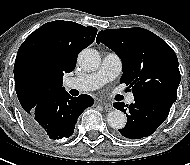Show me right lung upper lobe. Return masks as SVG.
Wrapping results in <instances>:
<instances>
[{
  "label": "right lung upper lobe",
  "mask_w": 190,
  "mask_h": 165,
  "mask_svg": "<svg viewBox=\"0 0 190 165\" xmlns=\"http://www.w3.org/2000/svg\"><path fill=\"white\" fill-rule=\"evenodd\" d=\"M97 29L71 21H52L31 33L14 65L15 89L27 112L47 93L64 89L62 77L75 69L78 53L95 39Z\"/></svg>",
  "instance_id": "right-lung-upper-lobe-1"
}]
</instances>
